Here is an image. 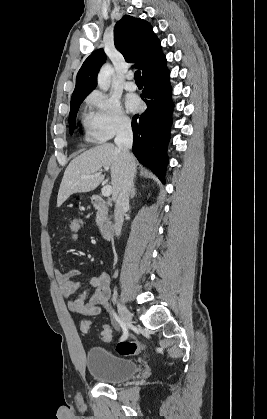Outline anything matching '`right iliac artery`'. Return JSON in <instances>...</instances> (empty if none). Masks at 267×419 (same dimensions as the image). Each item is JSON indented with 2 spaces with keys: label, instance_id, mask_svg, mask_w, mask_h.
<instances>
[{
  "label": "right iliac artery",
  "instance_id": "right-iliac-artery-1",
  "mask_svg": "<svg viewBox=\"0 0 267 419\" xmlns=\"http://www.w3.org/2000/svg\"><path fill=\"white\" fill-rule=\"evenodd\" d=\"M113 317L115 318L116 322L120 325V327L123 330V335L121 337V340H124L128 337V331H127V327L125 326V324L122 322V320L119 318V316H117V314L112 311Z\"/></svg>",
  "mask_w": 267,
  "mask_h": 419
}]
</instances>
